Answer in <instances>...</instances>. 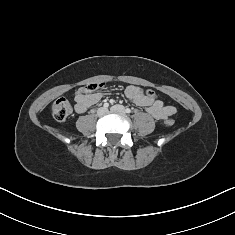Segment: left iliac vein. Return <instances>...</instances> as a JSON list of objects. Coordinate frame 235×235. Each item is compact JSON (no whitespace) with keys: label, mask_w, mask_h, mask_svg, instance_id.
<instances>
[{"label":"left iliac vein","mask_w":235,"mask_h":235,"mask_svg":"<svg viewBox=\"0 0 235 235\" xmlns=\"http://www.w3.org/2000/svg\"><path fill=\"white\" fill-rule=\"evenodd\" d=\"M111 111L113 112H119V113H124L125 112V108L123 105H114L110 108Z\"/></svg>","instance_id":"obj_1"}]
</instances>
